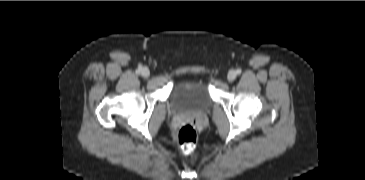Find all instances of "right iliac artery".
Here are the masks:
<instances>
[{
	"label": "right iliac artery",
	"instance_id": "1",
	"mask_svg": "<svg viewBox=\"0 0 365 180\" xmlns=\"http://www.w3.org/2000/svg\"><path fill=\"white\" fill-rule=\"evenodd\" d=\"M141 69H142V68H141V67H139L137 71H138V72H140V71H141Z\"/></svg>",
	"mask_w": 365,
	"mask_h": 180
}]
</instances>
